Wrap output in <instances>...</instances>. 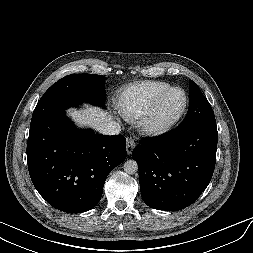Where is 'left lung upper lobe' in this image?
Wrapping results in <instances>:
<instances>
[{"instance_id":"5c2ea615","label":"left lung upper lobe","mask_w":253,"mask_h":253,"mask_svg":"<svg viewBox=\"0 0 253 253\" xmlns=\"http://www.w3.org/2000/svg\"><path fill=\"white\" fill-rule=\"evenodd\" d=\"M189 109L186 118L179 125L189 128L198 124L215 121L214 112L195 82L189 80Z\"/></svg>"}]
</instances>
